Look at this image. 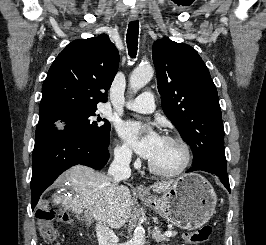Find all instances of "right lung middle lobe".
<instances>
[{"instance_id":"obj_1","label":"right lung middle lobe","mask_w":266,"mask_h":245,"mask_svg":"<svg viewBox=\"0 0 266 245\" xmlns=\"http://www.w3.org/2000/svg\"><path fill=\"white\" fill-rule=\"evenodd\" d=\"M97 108L71 110L63 112L50 119L39 121L35 139H39L57 131H67L81 136L96 145L107 147L109 145L110 123L97 117Z\"/></svg>"}]
</instances>
